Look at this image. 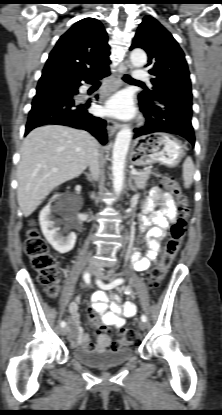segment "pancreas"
Returning a JSON list of instances; mask_svg holds the SVG:
<instances>
[{
  "label": "pancreas",
  "instance_id": "pancreas-1",
  "mask_svg": "<svg viewBox=\"0 0 222 415\" xmlns=\"http://www.w3.org/2000/svg\"><path fill=\"white\" fill-rule=\"evenodd\" d=\"M150 172V170L138 171L139 174L133 176L136 188L144 189L146 187L147 180L150 177Z\"/></svg>",
  "mask_w": 222,
  "mask_h": 415
}]
</instances>
